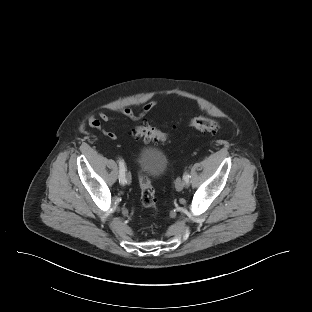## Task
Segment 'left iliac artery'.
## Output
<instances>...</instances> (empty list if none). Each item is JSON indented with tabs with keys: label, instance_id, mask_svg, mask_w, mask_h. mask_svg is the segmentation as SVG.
Instances as JSON below:
<instances>
[{
	"label": "left iliac artery",
	"instance_id": "left-iliac-artery-1",
	"mask_svg": "<svg viewBox=\"0 0 312 312\" xmlns=\"http://www.w3.org/2000/svg\"><path fill=\"white\" fill-rule=\"evenodd\" d=\"M189 178H190V175H189L187 172H185L184 175H183V179H184V181H185L186 183L189 182Z\"/></svg>",
	"mask_w": 312,
	"mask_h": 312
}]
</instances>
